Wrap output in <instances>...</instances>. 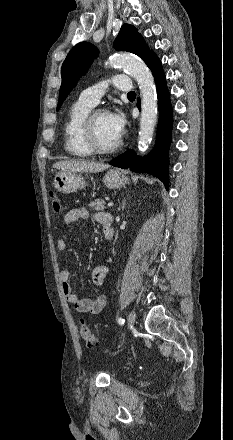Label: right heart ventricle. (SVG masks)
<instances>
[{"instance_id":"right-heart-ventricle-1","label":"right heart ventricle","mask_w":233,"mask_h":440,"mask_svg":"<svg viewBox=\"0 0 233 440\" xmlns=\"http://www.w3.org/2000/svg\"><path fill=\"white\" fill-rule=\"evenodd\" d=\"M93 106L77 100L69 109L64 124L65 150L77 158H87L92 152L86 147L82 139V124Z\"/></svg>"}]
</instances>
